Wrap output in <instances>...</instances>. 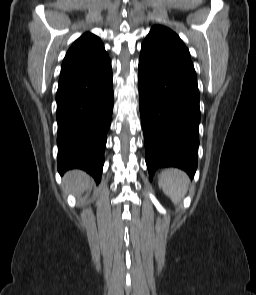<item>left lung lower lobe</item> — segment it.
Masks as SVG:
<instances>
[{
    "mask_svg": "<svg viewBox=\"0 0 256 295\" xmlns=\"http://www.w3.org/2000/svg\"><path fill=\"white\" fill-rule=\"evenodd\" d=\"M139 103L149 178L178 167L192 178L199 146V91L139 64Z\"/></svg>",
    "mask_w": 256,
    "mask_h": 295,
    "instance_id": "left-lung-lower-lobe-1",
    "label": "left lung lower lobe"
}]
</instances>
